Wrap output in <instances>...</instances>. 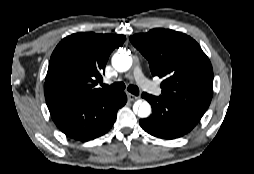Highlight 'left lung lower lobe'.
<instances>
[{"instance_id":"0a47b994","label":"left lung lower lobe","mask_w":254,"mask_h":174,"mask_svg":"<svg viewBox=\"0 0 254 174\" xmlns=\"http://www.w3.org/2000/svg\"><path fill=\"white\" fill-rule=\"evenodd\" d=\"M152 106L149 118L141 119V127L149 134L162 139L179 138L190 132L200 121L205 111L193 106L171 102L161 96L143 93Z\"/></svg>"}]
</instances>
